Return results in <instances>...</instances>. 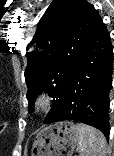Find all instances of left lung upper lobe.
<instances>
[{"label":"left lung upper lobe","instance_id":"obj_1","mask_svg":"<svg viewBox=\"0 0 114 156\" xmlns=\"http://www.w3.org/2000/svg\"><path fill=\"white\" fill-rule=\"evenodd\" d=\"M98 16L86 0H54L38 24L32 39L36 51L26 54L25 78L29 112L41 92L53 97L54 107L45 123L65 99L68 82Z\"/></svg>","mask_w":114,"mask_h":156}]
</instances>
